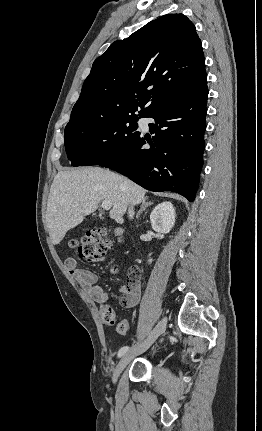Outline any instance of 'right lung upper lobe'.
<instances>
[{
    "label": "right lung upper lobe",
    "mask_w": 262,
    "mask_h": 431,
    "mask_svg": "<svg viewBox=\"0 0 262 431\" xmlns=\"http://www.w3.org/2000/svg\"><path fill=\"white\" fill-rule=\"evenodd\" d=\"M207 82L201 41L183 14L153 20L113 42L93 63L68 125L121 116L147 117L185 101Z\"/></svg>",
    "instance_id": "obj_1"
}]
</instances>
